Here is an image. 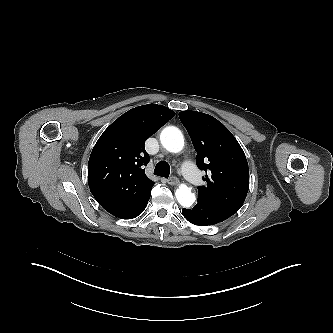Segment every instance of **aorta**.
I'll use <instances>...</instances> for the list:
<instances>
[{"label": "aorta", "mask_w": 333, "mask_h": 333, "mask_svg": "<svg viewBox=\"0 0 333 333\" xmlns=\"http://www.w3.org/2000/svg\"><path fill=\"white\" fill-rule=\"evenodd\" d=\"M160 142L162 146L171 153H178L184 147V137L182 132L174 126L164 128L160 134ZM178 203L188 208L195 202V194L186 184H180L175 191Z\"/></svg>", "instance_id": "1"}]
</instances>
